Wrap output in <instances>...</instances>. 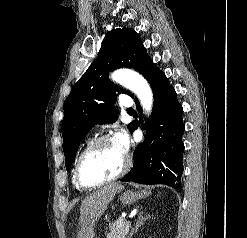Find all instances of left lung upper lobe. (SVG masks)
Wrapping results in <instances>:
<instances>
[{
	"label": "left lung upper lobe",
	"instance_id": "left-lung-upper-lobe-1",
	"mask_svg": "<svg viewBox=\"0 0 247 238\" xmlns=\"http://www.w3.org/2000/svg\"><path fill=\"white\" fill-rule=\"evenodd\" d=\"M123 67L137 70L146 79L156 68L132 28L113 29L105 36L97 59L75 83L65 101L62 135L66 169L93 125L117 121L116 108L112 105L119 87L109 80L108 72ZM121 92L133 98L129 91L121 89ZM133 126V122L128 125L130 131Z\"/></svg>",
	"mask_w": 247,
	"mask_h": 238
}]
</instances>
